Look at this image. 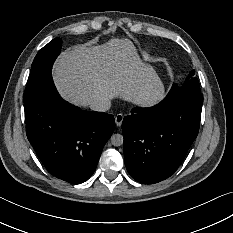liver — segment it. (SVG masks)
Returning a JSON list of instances; mask_svg holds the SVG:
<instances>
[{
	"label": "liver",
	"instance_id": "obj_1",
	"mask_svg": "<svg viewBox=\"0 0 233 233\" xmlns=\"http://www.w3.org/2000/svg\"><path fill=\"white\" fill-rule=\"evenodd\" d=\"M53 80L64 99L82 107L117 97L147 107L164 93L159 77L143 67L128 39L114 38L97 46L86 43L62 52L53 67Z\"/></svg>",
	"mask_w": 233,
	"mask_h": 233
}]
</instances>
